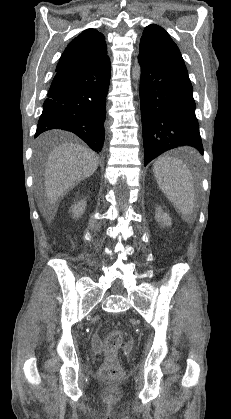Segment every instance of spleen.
I'll return each mask as SVG.
<instances>
[{
	"instance_id": "spleen-1",
	"label": "spleen",
	"mask_w": 231,
	"mask_h": 419,
	"mask_svg": "<svg viewBox=\"0 0 231 419\" xmlns=\"http://www.w3.org/2000/svg\"><path fill=\"white\" fill-rule=\"evenodd\" d=\"M155 179L176 210L185 217L192 214L195 202L194 180L189 168L174 157H160L153 165Z\"/></svg>"
}]
</instances>
